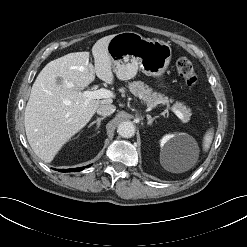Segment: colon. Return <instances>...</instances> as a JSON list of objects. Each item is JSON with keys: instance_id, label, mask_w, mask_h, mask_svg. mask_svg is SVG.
I'll use <instances>...</instances> for the list:
<instances>
[{"instance_id": "colon-1", "label": "colon", "mask_w": 247, "mask_h": 247, "mask_svg": "<svg viewBox=\"0 0 247 247\" xmlns=\"http://www.w3.org/2000/svg\"><path fill=\"white\" fill-rule=\"evenodd\" d=\"M176 69L188 87L194 88L197 85V75L194 71L192 63L187 58H179L176 62Z\"/></svg>"}]
</instances>
